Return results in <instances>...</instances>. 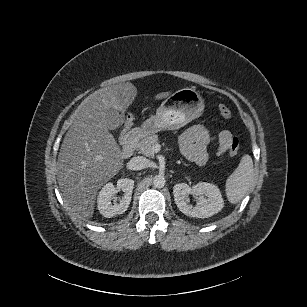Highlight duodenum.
Instances as JSON below:
<instances>
[{"mask_svg":"<svg viewBox=\"0 0 307 307\" xmlns=\"http://www.w3.org/2000/svg\"><path fill=\"white\" fill-rule=\"evenodd\" d=\"M142 135L141 130L134 129L128 132L123 140L122 157L127 159L132 156L135 146Z\"/></svg>","mask_w":307,"mask_h":307,"instance_id":"duodenum-1","label":"duodenum"}]
</instances>
